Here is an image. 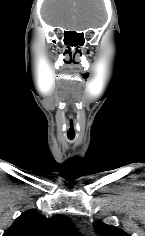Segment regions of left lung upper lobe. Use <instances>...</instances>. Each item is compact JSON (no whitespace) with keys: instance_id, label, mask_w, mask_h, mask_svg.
<instances>
[{"instance_id":"1","label":"left lung upper lobe","mask_w":145,"mask_h":236,"mask_svg":"<svg viewBox=\"0 0 145 236\" xmlns=\"http://www.w3.org/2000/svg\"><path fill=\"white\" fill-rule=\"evenodd\" d=\"M93 226L99 236H130L123 230L114 226L106 225L101 221L95 222Z\"/></svg>"}]
</instances>
